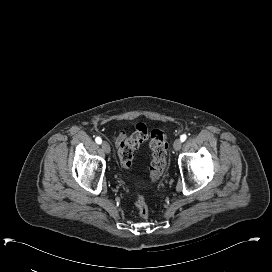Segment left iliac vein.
<instances>
[{"label":"left iliac vein","mask_w":272,"mask_h":272,"mask_svg":"<svg viewBox=\"0 0 272 272\" xmlns=\"http://www.w3.org/2000/svg\"><path fill=\"white\" fill-rule=\"evenodd\" d=\"M182 147V141L180 139H176L173 144V148L175 151H179Z\"/></svg>","instance_id":"obj_1"}]
</instances>
